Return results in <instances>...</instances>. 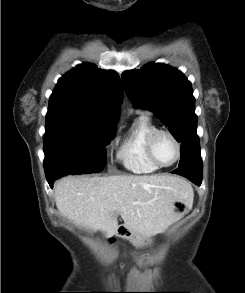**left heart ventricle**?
<instances>
[{
	"mask_svg": "<svg viewBox=\"0 0 245 293\" xmlns=\"http://www.w3.org/2000/svg\"><path fill=\"white\" fill-rule=\"evenodd\" d=\"M154 152L157 160L162 164L171 163L176 156V148L172 140L166 135H161L157 138Z\"/></svg>",
	"mask_w": 245,
	"mask_h": 293,
	"instance_id": "1",
	"label": "left heart ventricle"
}]
</instances>
